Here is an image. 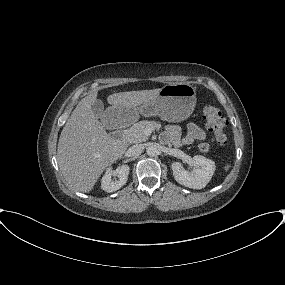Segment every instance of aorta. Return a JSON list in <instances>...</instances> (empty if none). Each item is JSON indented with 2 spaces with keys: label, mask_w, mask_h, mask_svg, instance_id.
Segmentation results:
<instances>
[{
  "label": "aorta",
  "mask_w": 285,
  "mask_h": 285,
  "mask_svg": "<svg viewBox=\"0 0 285 285\" xmlns=\"http://www.w3.org/2000/svg\"><path fill=\"white\" fill-rule=\"evenodd\" d=\"M146 153L148 156L153 157V156L157 155L158 150L155 146L151 145V146H148L146 148Z\"/></svg>",
  "instance_id": "obj_1"
}]
</instances>
